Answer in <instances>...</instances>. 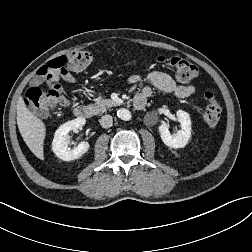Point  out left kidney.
Listing matches in <instances>:
<instances>
[{
  "mask_svg": "<svg viewBox=\"0 0 252 252\" xmlns=\"http://www.w3.org/2000/svg\"><path fill=\"white\" fill-rule=\"evenodd\" d=\"M177 119L181 124V130L177 131L174 135L170 133L167 124L163 123L158 127L164 144L174 149L185 147L191 137V120L189 114L179 110L177 111Z\"/></svg>",
  "mask_w": 252,
  "mask_h": 252,
  "instance_id": "5707ae66",
  "label": "left kidney"
}]
</instances>
